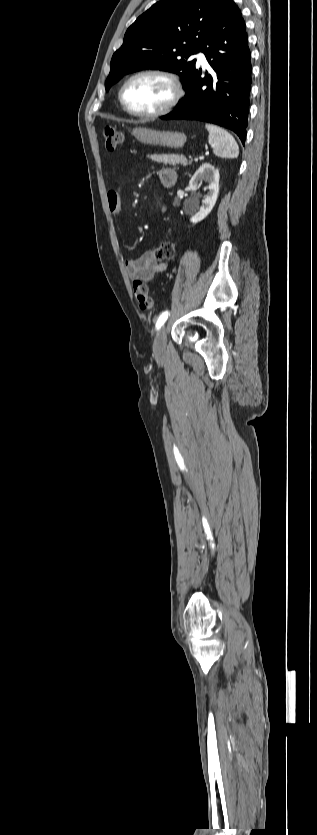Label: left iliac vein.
<instances>
[{
  "label": "left iliac vein",
  "mask_w": 317,
  "mask_h": 835,
  "mask_svg": "<svg viewBox=\"0 0 317 835\" xmlns=\"http://www.w3.org/2000/svg\"><path fill=\"white\" fill-rule=\"evenodd\" d=\"M167 343L166 329L163 327L154 340L153 352L156 358H160L165 354Z\"/></svg>",
  "instance_id": "1"
}]
</instances>
